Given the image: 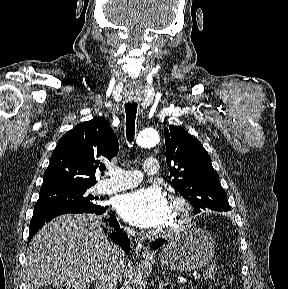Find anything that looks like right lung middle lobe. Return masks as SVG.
I'll return each instance as SVG.
<instances>
[{"instance_id":"obj_1","label":"right lung middle lobe","mask_w":288,"mask_h":289,"mask_svg":"<svg viewBox=\"0 0 288 289\" xmlns=\"http://www.w3.org/2000/svg\"><path fill=\"white\" fill-rule=\"evenodd\" d=\"M89 188L55 187L40 190V196L34 209L43 207H70L82 210H94L101 205L94 202L97 200Z\"/></svg>"}]
</instances>
